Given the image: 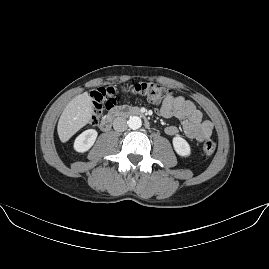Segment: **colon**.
<instances>
[{
  "label": "colon",
  "mask_w": 269,
  "mask_h": 269,
  "mask_svg": "<svg viewBox=\"0 0 269 269\" xmlns=\"http://www.w3.org/2000/svg\"><path fill=\"white\" fill-rule=\"evenodd\" d=\"M121 84H114L108 88H98L92 92V99L95 103H100L109 98H119L123 93ZM130 92L141 96L150 103H162L171 96V89L153 82H136L129 87ZM216 150V144L213 140H206L202 147L205 157H210Z\"/></svg>",
  "instance_id": "1"
}]
</instances>
